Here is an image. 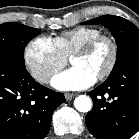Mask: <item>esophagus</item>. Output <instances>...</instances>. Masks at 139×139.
Masks as SVG:
<instances>
[{
    "label": "esophagus",
    "mask_w": 139,
    "mask_h": 139,
    "mask_svg": "<svg viewBox=\"0 0 139 139\" xmlns=\"http://www.w3.org/2000/svg\"><path fill=\"white\" fill-rule=\"evenodd\" d=\"M75 97L73 93H65L66 100H72Z\"/></svg>",
    "instance_id": "esophagus-1"
}]
</instances>
